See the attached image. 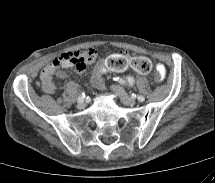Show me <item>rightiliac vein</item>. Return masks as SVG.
<instances>
[{"label": "right iliac vein", "mask_w": 215, "mask_h": 183, "mask_svg": "<svg viewBox=\"0 0 215 183\" xmlns=\"http://www.w3.org/2000/svg\"><path fill=\"white\" fill-rule=\"evenodd\" d=\"M85 105H86V103H85V101L83 100V101H81V102H78L77 107H78L79 109H83V108L85 107Z\"/></svg>", "instance_id": "obj_1"}]
</instances>
